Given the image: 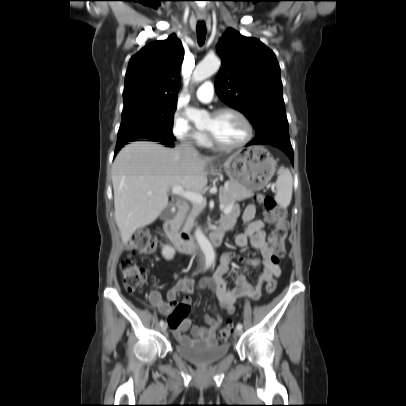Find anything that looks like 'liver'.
<instances>
[{
	"instance_id": "6515ba94",
	"label": "liver",
	"mask_w": 406,
	"mask_h": 406,
	"mask_svg": "<svg viewBox=\"0 0 406 406\" xmlns=\"http://www.w3.org/2000/svg\"><path fill=\"white\" fill-rule=\"evenodd\" d=\"M212 158L150 141H135L116 156L112 167L115 221L127 244L136 229L154 222L169 205L168 191L181 186L200 193L207 188ZM211 174H216L211 170Z\"/></svg>"
}]
</instances>
